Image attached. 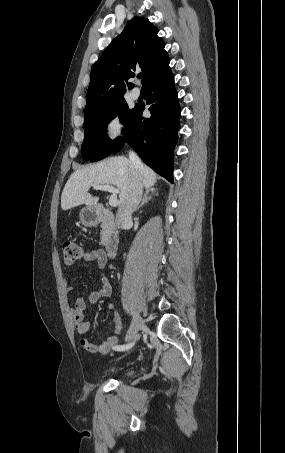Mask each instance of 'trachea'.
I'll use <instances>...</instances> for the list:
<instances>
[{
    "label": "trachea",
    "mask_w": 285,
    "mask_h": 453,
    "mask_svg": "<svg viewBox=\"0 0 285 453\" xmlns=\"http://www.w3.org/2000/svg\"><path fill=\"white\" fill-rule=\"evenodd\" d=\"M138 78L141 79V78H142V74H139V75H138Z\"/></svg>",
    "instance_id": "trachea-1"
}]
</instances>
